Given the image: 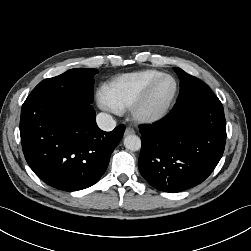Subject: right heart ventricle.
Returning a JSON list of instances; mask_svg holds the SVG:
<instances>
[{
  "label": "right heart ventricle",
  "mask_w": 251,
  "mask_h": 251,
  "mask_svg": "<svg viewBox=\"0 0 251 251\" xmlns=\"http://www.w3.org/2000/svg\"><path fill=\"white\" fill-rule=\"evenodd\" d=\"M161 75H163L161 71L153 69L121 74L111 79L103 90L118 111L126 110L132 106L148 84Z\"/></svg>",
  "instance_id": "e07e8e85"
}]
</instances>
